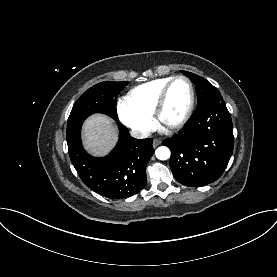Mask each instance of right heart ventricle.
<instances>
[{"label": "right heart ventricle", "mask_w": 277, "mask_h": 277, "mask_svg": "<svg viewBox=\"0 0 277 277\" xmlns=\"http://www.w3.org/2000/svg\"><path fill=\"white\" fill-rule=\"evenodd\" d=\"M172 78H158L138 85L128 92L126 99L138 111L152 116L154 106L162 89Z\"/></svg>", "instance_id": "obj_1"}]
</instances>
